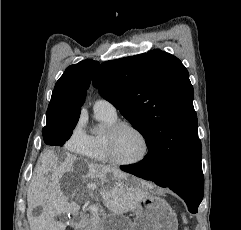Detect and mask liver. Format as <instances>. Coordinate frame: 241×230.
<instances>
[{"mask_svg":"<svg viewBox=\"0 0 241 230\" xmlns=\"http://www.w3.org/2000/svg\"><path fill=\"white\" fill-rule=\"evenodd\" d=\"M48 167H42L33 177L27 192V219L30 230H65L66 226L55 221V216L62 213L77 214L79 205L69 201L70 197L79 195L85 187L89 190L101 186L100 194L104 205L114 214L120 215L131 211L137 207L140 201L147 195L141 184L128 182L127 175L118 169L87 163V172L82 175V184L72 193L62 190L61 180L63 177L79 175V170L75 166L78 158L75 155L66 153L64 160L50 152L45 157ZM50 175V181L48 174ZM116 176L119 180L110 182L108 175ZM41 207L39 215H34L33 211Z\"/></svg>","mask_w":241,"mask_h":230,"instance_id":"6515ba94","label":"liver"}]
</instances>
